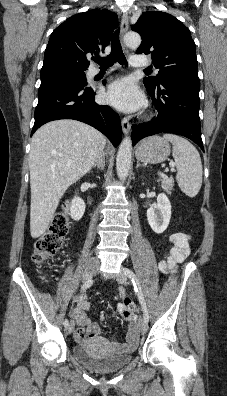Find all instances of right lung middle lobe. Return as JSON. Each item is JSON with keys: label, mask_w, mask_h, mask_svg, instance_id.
<instances>
[{"label": "right lung middle lobe", "mask_w": 227, "mask_h": 396, "mask_svg": "<svg viewBox=\"0 0 227 396\" xmlns=\"http://www.w3.org/2000/svg\"><path fill=\"white\" fill-rule=\"evenodd\" d=\"M55 79H67L82 84H87L86 75L83 70L55 68L41 71V83Z\"/></svg>", "instance_id": "obj_1"}]
</instances>
